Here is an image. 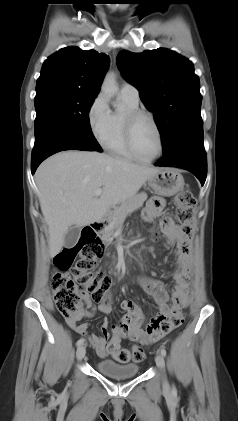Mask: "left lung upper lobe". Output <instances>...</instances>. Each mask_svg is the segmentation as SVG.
<instances>
[{
  "mask_svg": "<svg viewBox=\"0 0 238 421\" xmlns=\"http://www.w3.org/2000/svg\"><path fill=\"white\" fill-rule=\"evenodd\" d=\"M117 64L153 112L164 154L186 133L203 127L199 78L185 57L158 48L143 53L121 51Z\"/></svg>",
  "mask_w": 238,
  "mask_h": 421,
  "instance_id": "obj_1",
  "label": "left lung upper lobe"
}]
</instances>
